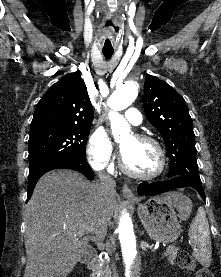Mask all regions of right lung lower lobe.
<instances>
[{"label": "right lung lower lobe", "instance_id": "98d812e1", "mask_svg": "<svg viewBox=\"0 0 221 277\" xmlns=\"http://www.w3.org/2000/svg\"><path fill=\"white\" fill-rule=\"evenodd\" d=\"M54 169H72L82 173L89 180H92L94 178V173L85 159H70V160L58 163L56 165L45 167L41 169L39 172H37L36 174H34L33 176H29L27 201L30 199L32 192L34 190V187L37 181L39 180V178L46 172Z\"/></svg>", "mask_w": 221, "mask_h": 277}]
</instances>
